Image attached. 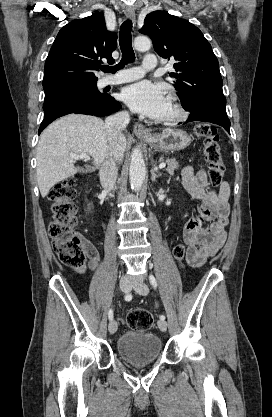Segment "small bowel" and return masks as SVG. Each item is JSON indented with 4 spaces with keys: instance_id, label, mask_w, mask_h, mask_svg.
<instances>
[{
    "instance_id": "small-bowel-1",
    "label": "small bowel",
    "mask_w": 272,
    "mask_h": 417,
    "mask_svg": "<svg viewBox=\"0 0 272 417\" xmlns=\"http://www.w3.org/2000/svg\"><path fill=\"white\" fill-rule=\"evenodd\" d=\"M181 176L187 192L202 202L199 213L188 220L183 229V239L187 244L186 261L192 267H200L226 242L230 186L222 182L217 190L212 189L205 170L195 171L192 166H185ZM207 223L210 225L206 227ZM86 247L88 264L75 267L82 275L95 271L99 263L96 248L90 243H86Z\"/></svg>"
}]
</instances>
